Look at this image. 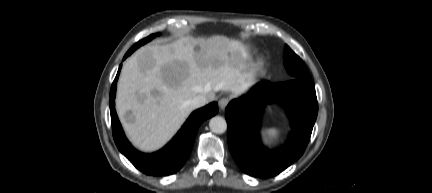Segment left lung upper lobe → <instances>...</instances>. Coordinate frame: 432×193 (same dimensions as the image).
<instances>
[{
	"mask_svg": "<svg viewBox=\"0 0 432 193\" xmlns=\"http://www.w3.org/2000/svg\"><path fill=\"white\" fill-rule=\"evenodd\" d=\"M284 65L292 78L311 79L304 62L287 45L284 48Z\"/></svg>",
	"mask_w": 432,
	"mask_h": 193,
	"instance_id": "left-lung-upper-lobe-1",
	"label": "left lung upper lobe"
}]
</instances>
